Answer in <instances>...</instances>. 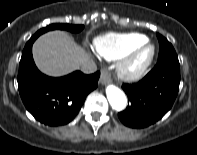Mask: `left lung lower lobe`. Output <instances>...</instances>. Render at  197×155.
I'll return each mask as SVG.
<instances>
[{"label":"left lung lower lobe","instance_id":"obj_1","mask_svg":"<svg viewBox=\"0 0 197 155\" xmlns=\"http://www.w3.org/2000/svg\"><path fill=\"white\" fill-rule=\"evenodd\" d=\"M179 84V61H158L139 82L123 84L129 105L118 113L119 119L132 128H143L155 123L172 107Z\"/></svg>","mask_w":197,"mask_h":155}]
</instances>
